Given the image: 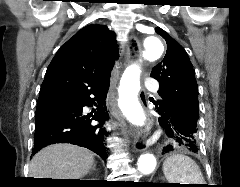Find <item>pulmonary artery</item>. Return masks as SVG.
I'll use <instances>...</instances> for the list:
<instances>
[{
	"instance_id": "1",
	"label": "pulmonary artery",
	"mask_w": 240,
	"mask_h": 187,
	"mask_svg": "<svg viewBox=\"0 0 240 187\" xmlns=\"http://www.w3.org/2000/svg\"><path fill=\"white\" fill-rule=\"evenodd\" d=\"M146 87L151 91H157L159 88V85L154 79L149 78L146 81Z\"/></svg>"
}]
</instances>
